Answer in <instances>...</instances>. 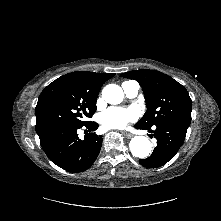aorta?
Segmentation results:
<instances>
[{"instance_id":"aorta-1","label":"aorta","mask_w":221,"mask_h":221,"mask_svg":"<svg viewBox=\"0 0 221 221\" xmlns=\"http://www.w3.org/2000/svg\"><path fill=\"white\" fill-rule=\"evenodd\" d=\"M102 97L109 104H119L122 102L124 94L120 86L108 84L102 90ZM129 148L133 156L146 158L151 153L152 144L145 136H135L131 139Z\"/></svg>"}]
</instances>
